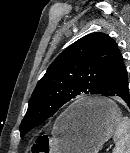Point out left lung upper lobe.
<instances>
[{"label": "left lung upper lobe", "mask_w": 130, "mask_h": 153, "mask_svg": "<svg viewBox=\"0 0 130 153\" xmlns=\"http://www.w3.org/2000/svg\"><path fill=\"white\" fill-rule=\"evenodd\" d=\"M119 53L116 42L100 32L88 34L67 47L37 83L20 125L21 137L71 99L99 94Z\"/></svg>", "instance_id": "left-lung-upper-lobe-1"}]
</instances>
